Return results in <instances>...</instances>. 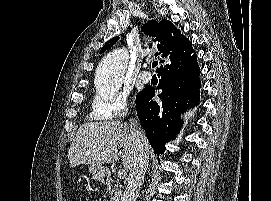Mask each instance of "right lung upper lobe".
Instances as JSON below:
<instances>
[{
    "label": "right lung upper lobe",
    "mask_w": 271,
    "mask_h": 201,
    "mask_svg": "<svg viewBox=\"0 0 271 201\" xmlns=\"http://www.w3.org/2000/svg\"><path fill=\"white\" fill-rule=\"evenodd\" d=\"M141 31L157 39L158 50L162 53V57L166 58V60H162L161 62H170L181 56L184 52L183 48L187 39L181 35L180 31L168 20H162L159 23L157 21H150L142 26ZM118 39L119 37H114L109 40L101 49L100 53L113 46ZM161 67L162 66L159 68Z\"/></svg>",
    "instance_id": "cb5924a9"
}]
</instances>
